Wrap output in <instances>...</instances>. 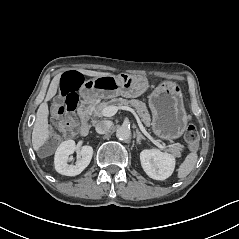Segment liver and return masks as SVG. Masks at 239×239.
Wrapping results in <instances>:
<instances>
[{
    "label": "liver",
    "instance_id": "1",
    "mask_svg": "<svg viewBox=\"0 0 239 239\" xmlns=\"http://www.w3.org/2000/svg\"><path fill=\"white\" fill-rule=\"evenodd\" d=\"M78 71L87 76H108L110 73L97 72L85 69H78ZM61 77V73L54 76L52 79L49 89L47 91L45 101L40 104L37 114L36 121L34 123L33 132H32V145L35 151H38L41 146L47 141L49 137V125H48V105L47 101L50 100L53 96H55L57 92V88L59 86V79Z\"/></svg>",
    "mask_w": 239,
    "mask_h": 239
}]
</instances>
